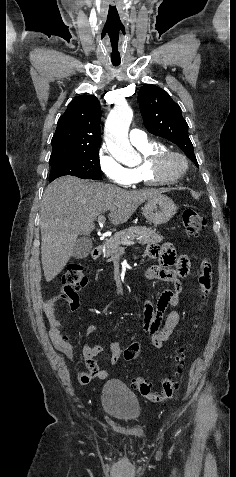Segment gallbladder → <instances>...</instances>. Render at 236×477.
Segmentation results:
<instances>
[{"label":"gallbladder","instance_id":"obj_1","mask_svg":"<svg viewBox=\"0 0 236 477\" xmlns=\"http://www.w3.org/2000/svg\"><path fill=\"white\" fill-rule=\"evenodd\" d=\"M92 249L91 238L84 236L77 240L74 249L73 256L77 259L85 258Z\"/></svg>","mask_w":236,"mask_h":477}]
</instances>
